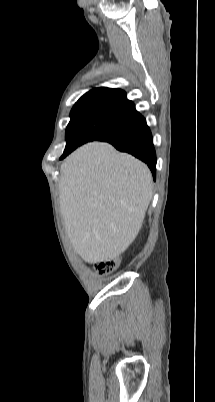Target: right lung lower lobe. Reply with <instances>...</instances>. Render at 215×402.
Here are the masks:
<instances>
[{
    "mask_svg": "<svg viewBox=\"0 0 215 402\" xmlns=\"http://www.w3.org/2000/svg\"><path fill=\"white\" fill-rule=\"evenodd\" d=\"M106 142L112 144L117 150L130 153L145 162L150 168L155 180L157 161L156 153L153 145L152 134L144 117L140 116L134 124L125 129L121 134L113 139L107 140ZM64 157H61V159Z\"/></svg>",
    "mask_w": 215,
    "mask_h": 402,
    "instance_id": "obj_1",
    "label": "right lung lower lobe"
}]
</instances>
